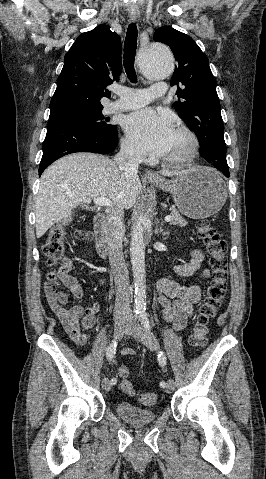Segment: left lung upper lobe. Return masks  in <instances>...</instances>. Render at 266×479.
Segmentation results:
<instances>
[{
	"instance_id": "obj_1",
	"label": "left lung upper lobe",
	"mask_w": 266,
	"mask_h": 479,
	"mask_svg": "<svg viewBox=\"0 0 266 479\" xmlns=\"http://www.w3.org/2000/svg\"><path fill=\"white\" fill-rule=\"evenodd\" d=\"M153 39L167 44L178 61L170 81L171 86H177L175 110L196 134L201 155L217 169L227 168L217 82L208 57L191 37L170 26L157 29Z\"/></svg>"
}]
</instances>
